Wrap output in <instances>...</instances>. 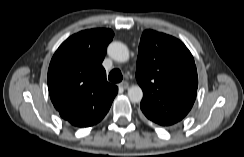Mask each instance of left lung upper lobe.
I'll return each mask as SVG.
<instances>
[{"instance_id": "5c2ea615", "label": "left lung upper lobe", "mask_w": 244, "mask_h": 157, "mask_svg": "<svg viewBox=\"0 0 244 157\" xmlns=\"http://www.w3.org/2000/svg\"><path fill=\"white\" fill-rule=\"evenodd\" d=\"M136 79L143 90L140 108L158 125L182 120L196 99L198 77L193 56L172 36L153 30L142 33Z\"/></svg>"}]
</instances>
